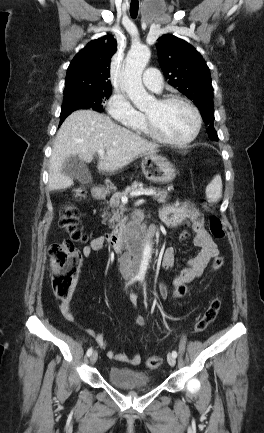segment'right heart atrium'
<instances>
[{
	"label": "right heart atrium",
	"mask_w": 264,
	"mask_h": 433,
	"mask_svg": "<svg viewBox=\"0 0 264 433\" xmlns=\"http://www.w3.org/2000/svg\"><path fill=\"white\" fill-rule=\"evenodd\" d=\"M109 115L118 123L136 127L144 122V116L130 103L126 95L115 92L107 103Z\"/></svg>",
	"instance_id": "d8ad5b80"
}]
</instances>
